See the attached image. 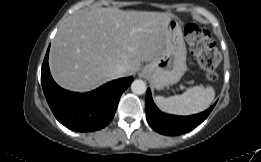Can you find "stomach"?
I'll use <instances>...</instances> for the list:
<instances>
[{"instance_id": "1", "label": "stomach", "mask_w": 261, "mask_h": 162, "mask_svg": "<svg viewBox=\"0 0 261 162\" xmlns=\"http://www.w3.org/2000/svg\"><path fill=\"white\" fill-rule=\"evenodd\" d=\"M186 54L181 21L174 17L167 24L162 54L144 67L142 75L158 90L175 84L187 70Z\"/></svg>"}]
</instances>
